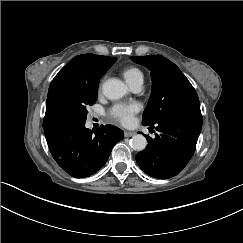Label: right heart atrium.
Returning a JSON list of instances; mask_svg holds the SVG:
<instances>
[{
    "label": "right heart atrium",
    "instance_id": "d8ad5b80",
    "mask_svg": "<svg viewBox=\"0 0 243 243\" xmlns=\"http://www.w3.org/2000/svg\"><path fill=\"white\" fill-rule=\"evenodd\" d=\"M105 79H106V75H104V76L100 79L99 84H98V93H101V92H102V86H103V83H104Z\"/></svg>",
    "mask_w": 243,
    "mask_h": 243
}]
</instances>
